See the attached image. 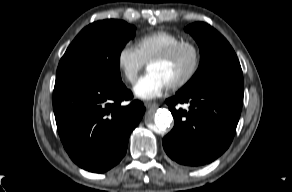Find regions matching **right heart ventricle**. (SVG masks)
Listing matches in <instances>:
<instances>
[{"label":"right heart ventricle","instance_id":"right-heart-ventricle-1","mask_svg":"<svg viewBox=\"0 0 292 192\" xmlns=\"http://www.w3.org/2000/svg\"><path fill=\"white\" fill-rule=\"evenodd\" d=\"M183 40L182 36L167 30H157L141 36L136 43V49L144 62L162 53L173 44Z\"/></svg>","mask_w":292,"mask_h":192}]
</instances>
